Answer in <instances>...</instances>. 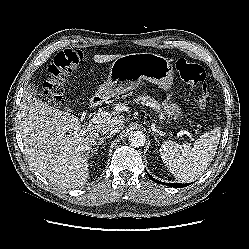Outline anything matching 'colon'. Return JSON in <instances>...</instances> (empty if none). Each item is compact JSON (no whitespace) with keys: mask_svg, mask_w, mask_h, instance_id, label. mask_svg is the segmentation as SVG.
Segmentation results:
<instances>
[{"mask_svg":"<svg viewBox=\"0 0 249 249\" xmlns=\"http://www.w3.org/2000/svg\"><path fill=\"white\" fill-rule=\"evenodd\" d=\"M83 57L82 51L77 49H65L54 57L48 67V77L43 84L44 94L54 103L61 104L63 102L65 82L82 62ZM176 69L184 82L199 88L197 104L205 107L209 101V89L205 83L203 67L184 58H178Z\"/></svg>","mask_w":249,"mask_h":249,"instance_id":"obj_1","label":"colon"}]
</instances>
